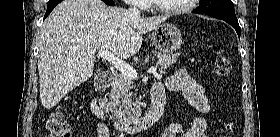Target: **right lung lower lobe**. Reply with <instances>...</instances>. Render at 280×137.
Wrapping results in <instances>:
<instances>
[{
    "label": "right lung lower lobe",
    "instance_id": "98d812e1",
    "mask_svg": "<svg viewBox=\"0 0 280 137\" xmlns=\"http://www.w3.org/2000/svg\"><path fill=\"white\" fill-rule=\"evenodd\" d=\"M62 0H49L47 4V10L44 16V19L50 14V12L56 7L58 3H60ZM104 1L107 5H114V2L112 0H102Z\"/></svg>",
    "mask_w": 280,
    "mask_h": 137
}]
</instances>
